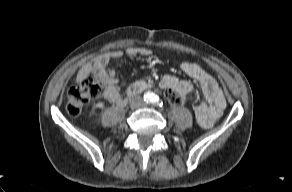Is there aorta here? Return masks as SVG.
I'll list each match as a JSON object with an SVG mask.
<instances>
[{
	"label": "aorta",
	"instance_id": "762f6f07",
	"mask_svg": "<svg viewBox=\"0 0 292 192\" xmlns=\"http://www.w3.org/2000/svg\"><path fill=\"white\" fill-rule=\"evenodd\" d=\"M145 98H146L147 100H149V101H153L154 98H155V95H154L153 92L148 91V92L145 94Z\"/></svg>",
	"mask_w": 292,
	"mask_h": 192
}]
</instances>
